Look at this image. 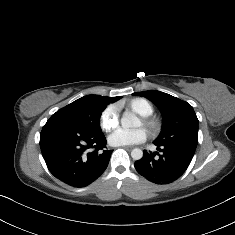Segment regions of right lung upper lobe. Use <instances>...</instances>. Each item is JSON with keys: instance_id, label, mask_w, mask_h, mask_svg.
<instances>
[{"instance_id": "obj_1", "label": "right lung upper lobe", "mask_w": 235, "mask_h": 235, "mask_svg": "<svg viewBox=\"0 0 235 235\" xmlns=\"http://www.w3.org/2000/svg\"><path fill=\"white\" fill-rule=\"evenodd\" d=\"M121 96L118 97H103L100 95H87L80 98L91 110L103 111L109 103H113L119 100Z\"/></svg>"}]
</instances>
